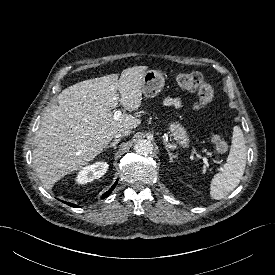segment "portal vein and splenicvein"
<instances>
[{
	"label": "portal vein and splenic vein",
	"mask_w": 275,
	"mask_h": 275,
	"mask_svg": "<svg viewBox=\"0 0 275 275\" xmlns=\"http://www.w3.org/2000/svg\"><path fill=\"white\" fill-rule=\"evenodd\" d=\"M121 115H122L121 110H117V111L114 112L113 118H114L115 120H118V119L121 117ZM202 160H203V162H204V164H205V167L209 168L208 159H207L206 157L203 156V157H202Z\"/></svg>",
	"instance_id": "portal-vein-and-splenic-vein-1"
}]
</instances>
